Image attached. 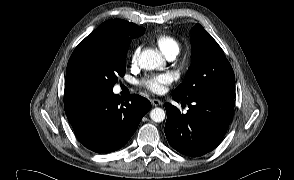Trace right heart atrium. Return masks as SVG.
I'll list each match as a JSON object with an SVG mask.
<instances>
[{
	"instance_id": "right-heart-atrium-1",
	"label": "right heart atrium",
	"mask_w": 294,
	"mask_h": 180,
	"mask_svg": "<svg viewBox=\"0 0 294 180\" xmlns=\"http://www.w3.org/2000/svg\"><path fill=\"white\" fill-rule=\"evenodd\" d=\"M137 57H138V49H134L131 53L132 64H135L137 62Z\"/></svg>"
}]
</instances>
